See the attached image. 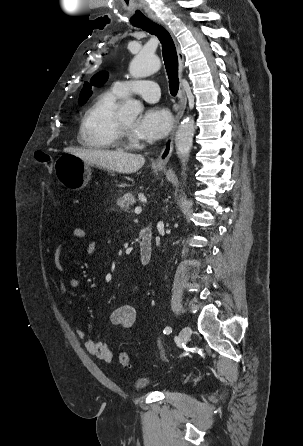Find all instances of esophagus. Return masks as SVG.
Listing matches in <instances>:
<instances>
[{
	"label": "esophagus",
	"mask_w": 303,
	"mask_h": 446,
	"mask_svg": "<svg viewBox=\"0 0 303 446\" xmlns=\"http://www.w3.org/2000/svg\"><path fill=\"white\" fill-rule=\"evenodd\" d=\"M152 20L155 23L159 24L160 26L164 27L171 34V36H172V38L174 40L175 46H176L178 62H179V75H180V78L182 79V77H183V70H184V56H183V53H182V51L180 49V45H179L178 41L173 36V34H172L171 30L169 29V27L162 20H160L157 17L152 18ZM178 98H179V109H178V112H177V114L175 116V119H174L172 131H171V133H170V135H169V137H168V139L166 141V144H165L162 152L160 153V155L158 156V158L155 161V164L158 167H164L168 163V161H169V159L171 157V154H172V151H173L174 136H175V132H176V129H177V125H178L180 119L182 118V116L184 114V111L186 109L187 97H186V93H185L184 88H183L182 85L179 88Z\"/></svg>",
	"instance_id": "obj_1"
}]
</instances>
